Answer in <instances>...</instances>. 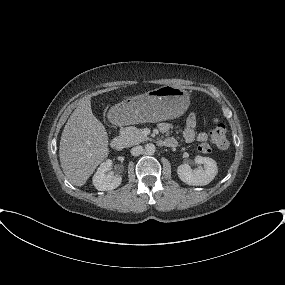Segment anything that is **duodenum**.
I'll use <instances>...</instances> for the list:
<instances>
[{
  "label": "duodenum",
  "mask_w": 285,
  "mask_h": 285,
  "mask_svg": "<svg viewBox=\"0 0 285 285\" xmlns=\"http://www.w3.org/2000/svg\"><path fill=\"white\" fill-rule=\"evenodd\" d=\"M114 148L116 150H121L124 146V140L121 137H116L113 142Z\"/></svg>",
  "instance_id": "duodenum-1"
}]
</instances>
